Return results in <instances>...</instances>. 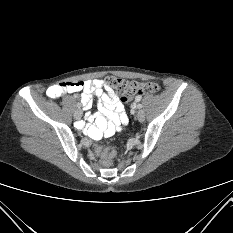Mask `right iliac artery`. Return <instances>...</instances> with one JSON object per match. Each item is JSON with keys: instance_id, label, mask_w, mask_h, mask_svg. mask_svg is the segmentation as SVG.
<instances>
[{"instance_id": "1", "label": "right iliac artery", "mask_w": 233, "mask_h": 233, "mask_svg": "<svg viewBox=\"0 0 233 233\" xmlns=\"http://www.w3.org/2000/svg\"><path fill=\"white\" fill-rule=\"evenodd\" d=\"M77 107L80 108V107H81V104H80V103H77Z\"/></svg>"}]
</instances>
